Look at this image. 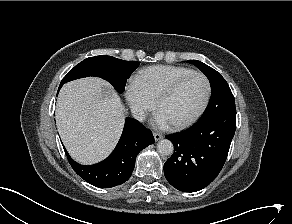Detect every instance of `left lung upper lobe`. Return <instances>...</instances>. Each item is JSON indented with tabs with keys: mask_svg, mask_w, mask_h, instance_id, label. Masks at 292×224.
Segmentation results:
<instances>
[{
	"mask_svg": "<svg viewBox=\"0 0 292 224\" xmlns=\"http://www.w3.org/2000/svg\"><path fill=\"white\" fill-rule=\"evenodd\" d=\"M188 62L197 66L207 76L211 84V99L199 121L221 112L236 110L234 96L221 74L200 61L188 60Z\"/></svg>",
	"mask_w": 292,
	"mask_h": 224,
	"instance_id": "5c2ea615",
	"label": "left lung upper lobe"
}]
</instances>
